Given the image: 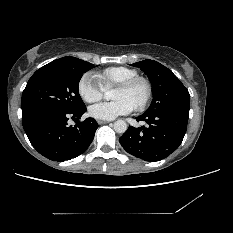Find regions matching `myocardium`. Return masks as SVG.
<instances>
[{"instance_id": "1", "label": "myocardium", "mask_w": 233, "mask_h": 233, "mask_svg": "<svg viewBox=\"0 0 233 233\" xmlns=\"http://www.w3.org/2000/svg\"><path fill=\"white\" fill-rule=\"evenodd\" d=\"M138 84H141L144 87L145 93L142 101L137 106H135L134 109L137 111H143L150 105L153 97V87L149 79L144 76L137 75L117 84V87L123 88L125 90H131Z\"/></svg>"}]
</instances>
